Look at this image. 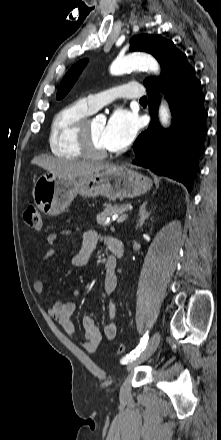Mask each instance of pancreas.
Listing matches in <instances>:
<instances>
[{"label":"pancreas","instance_id":"pancreas-1","mask_svg":"<svg viewBox=\"0 0 221 440\" xmlns=\"http://www.w3.org/2000/svg\"><path fill=\"white\" fill-rule=\"evenodd\" d=\"M129 208L128 205H107L103 209L101 213L97 214V223L100 226L106 227L109 223L106 222V219L112 215H122Z\"/></svg>","mask_w":221,"mask_h":440}]
</instances>
